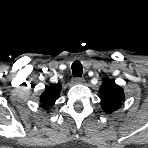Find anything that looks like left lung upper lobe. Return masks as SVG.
<instances>
[{
  "label": "left lung upper lobe",
  "mask_w": 148,
  "mask_h": 148,
  "mask_svg": "<svg viewBox=\"0 0 148 148\" xmlns=\"http://www.w3.org/2000/svg\"><path fill=\"white\" fill-rule=\"evenodd\" d=\"M101 107L110 114L118 110L124 100V91L114 81L106 78L100 89Z\"/></svg>",
  "instance_id": "5c2ea615"
}]
</instances>
